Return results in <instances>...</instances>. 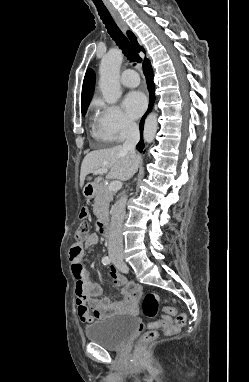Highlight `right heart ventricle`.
I'll list each match as a JSON object with an SVG mask.
<instances>
[{"label":"right heart ventricle","mask_w":249,"mask_h":382,"mask_svg":"<svg viewBox=\"0 0 249 382\" xmlns=\"http://www.w3.org/2000/svg\"><path fill=\"white\" fill-rule=\"evenodd\" d=\"M95 134H96L98 137H100V138H102V139H104V140H106V141H109V140H107V139L103 136V134L101 133V131H100L99 128H95Z\"/></svg>","instance_id":"1"}]
</instances>
